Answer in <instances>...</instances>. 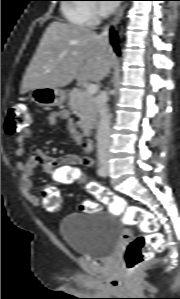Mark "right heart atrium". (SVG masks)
<instances>
[{
    "mask_svg": "<svg viewBox=\"0 0 180 299\" xmlns=\"http://www.w3.org/2000/svg\"><path fill=\"white\" fill-rule=\"evenodd\" d=\"M92 12L94 14V16L99 15V9L97 8V6H91Z\"/></svg>",
    "mask_w": 180,
    "mask_h": 299,
    "instance_id": "1",
    "label": "right heart atrium"
}]
</instances>
